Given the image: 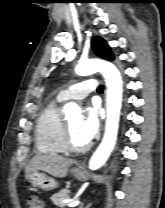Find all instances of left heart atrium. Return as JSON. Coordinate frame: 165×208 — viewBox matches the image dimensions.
<instances>
[{
    "label": "left heart atrium",
    "mask_w": 165,
    "mask_h": 208,
    "mask_svg": "<svg viewBox=\"0 0 165 208\" xmlns=\"http://www.w3.org/2000/svg\"><path fill=\"white\" fill-rule=\"evenodd\" d=\"M100 127L99 107L92 104L86 108L85 116L82 118L79 126V135L87 144L91 142L98 133Z\"/></svg>",
    "instance_id": "1"
}]
</instances>
